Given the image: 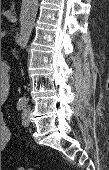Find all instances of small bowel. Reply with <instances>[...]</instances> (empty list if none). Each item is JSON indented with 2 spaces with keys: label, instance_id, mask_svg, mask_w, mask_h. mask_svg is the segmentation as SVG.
I'll return each instance as SVG.
<instances>
[{
  "label": "small bowel",
  "instance_id": "1",
  "mask_svg": "<svg viewBox=\"0 0 109 170\" xmlns=\"http://www.w3.org/2000/svg\"><path fill=\"white\" fill-rule=\"evenodd\" d=\"M6 93H4L5 97ZM10 140V132L4 118L1 119V148H4Z\"/></svg>",
  "mask_w": 109,
  "mask_h": 170
}]
</instances>
